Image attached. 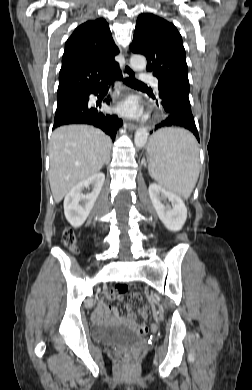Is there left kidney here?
<instances>
[{"label":"left kidney","instance_id":"5707ae66","mask_svg":"<svg viewBox=\"0 0 252 390\" xmlns=\"http://www.w3.org/2000/svg\"><path fill=\"white\" fill-rule=\"evenodd\" d=\"M149 195L159 219L166 228L171 231L181 230L187 219V208L183 200L158 184L149 186Z\"/></svg>","mask_w":252,"mask_h":390}]
</instances>
